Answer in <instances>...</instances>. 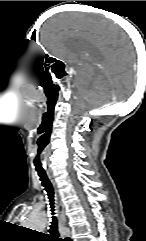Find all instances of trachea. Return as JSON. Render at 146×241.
I'll return each instance as SVG.
<instances>
[{
    "label": "trachea",
    "instance_id": "trachea-1",
    "mask_svg": "<svg viewBox=\"0 0 146 241\" xmlns=\"http://www.w3.org/2000/svg\"><path fill=\"white\" fill-rule=\"evenodd\" d=\"M36 170L40 177L42 185L44 186V188L47 192L49 203H50L51 214H52V221H51V225H50V229H49L50 238L52 241H64L62 238L59 237L60 235L58 232V223H57V219L55 216L54 191H53L52 184L44 170H41L38 168Z\"/></svg>",
    "mask_w": 146,
    "mask_h": 241
}]
</instances>
